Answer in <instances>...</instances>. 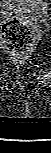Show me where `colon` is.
Listing matches in <instances>:
<instances>
[{
	"instance_id": "1",
	"label": "colon",
	"mask_w": 51,
	"mask_h": 153,
	"mask_svg": "<svg viewBox=\"0 0 51 153\" xmlns=\"http://www.w3.org/2000/svg\"><path fill=\"white\" fill-rule=\"evenodd\" d=\"M2 40L12 55L20 57L32 49L35 35L33 30L23 22L11 20L3 26Z\"/></svg>"
}]
</instances>
